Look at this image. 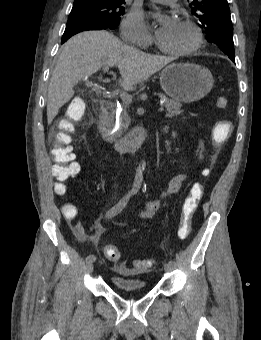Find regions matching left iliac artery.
Here are the masks:
<instances>
[{
  "mask_svg": "<svg viewBox=\"0 0 261 340\" xmlns=\"http://www.w3.org/2000/svg\"><path fill=\"white\" fill-rule=\"evenodd\" d=\"M168 263H169L170 265H172V266H175V264H176V262H175L174 259H169V260H168Z\"/></svg>",
  "mask_w": 261,
  "mask_h": 340,
  "instance_id": "left-iliac-artery-1",
  "label": "left iliac artery"
}]
</instances>
